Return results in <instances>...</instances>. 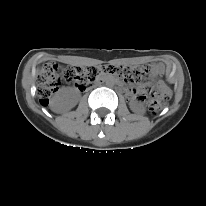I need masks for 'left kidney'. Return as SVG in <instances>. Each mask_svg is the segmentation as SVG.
<instances>
[{"label": "left kidney", "instance_id": "1", "mask_svg": "<svg viewBox=\"0 0 206 206\" xmlns=\"http://www.w3.org/2000/svg\"><path fill=\"white\" fill-rule=\"evenodd\" d=\"M131 109L134 112H141L143 110V106L140 103L133 102L131 103Z\"/></svg>", "mask_w": 206, "mask_h": 206}]
</instances>
